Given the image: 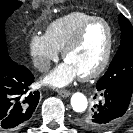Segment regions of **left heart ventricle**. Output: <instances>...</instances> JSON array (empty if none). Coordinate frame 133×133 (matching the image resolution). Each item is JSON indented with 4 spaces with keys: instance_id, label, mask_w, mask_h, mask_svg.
Listing matches in <instances>:
<instances>
[{
    "instance_id": "1",
    "label": "left heart ventricle",
    "mask_w": 133,
    "mask_h": 133,
    "mask_svg": "<svg viewBox=\"0 0 133 133\" xmlns=\"http://www.w3.org/2000/svg\"><path fill=\"white\" fill-rule=\"evenodd\" d=\"M108 31L101 22L92 24L86 31L80 44L66 57L77 75L93 71L101 62L107 47Z\"/></svg>"
}]
</instances>
